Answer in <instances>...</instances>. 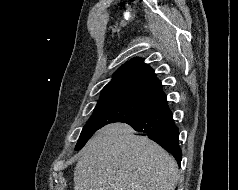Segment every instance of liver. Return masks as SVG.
<instances>
[{
    "mask_svg": "<svg viewBox=\"0 0 238 190\" xmlns=\"http://www.w3.org/2000/svg\"><path fill=\"white\" fill-rule=\"evenodd\" d=\"M175 159L125 123L99 129L74 171V190H174Z\"/></svg>",
    "mask_w": 238,
    "mask_h": 190,
    "instance_id": "6515ba94",
    "label": "liver"
}]
</instances>
